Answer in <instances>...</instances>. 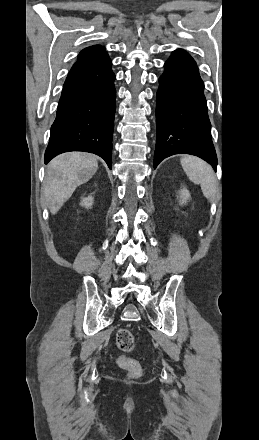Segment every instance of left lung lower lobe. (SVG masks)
<instances>
[{
    "label": "left lung lower lobe",
    "mask_w": 259,
    "mask_h": 440,
    "mask_svg": "<svg viewBox=\"0 0 259 440\" xmlns=\"http://www.w3.org/2000/svg\"><path fill=\"white\" fill-rule=\"evenodd\" d=\"M159 78L156 106L157 141L154 168L174 154L198 156L216 170L204 83L193 58L184 50L172 52Z\"/></svg>",
    "instance_id": "obj_1"
}]
</instances>
